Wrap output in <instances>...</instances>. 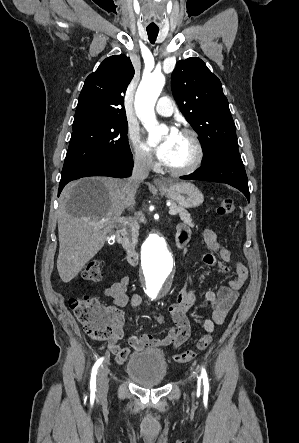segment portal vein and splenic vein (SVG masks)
<instances>
[{
  "label": "portal vein and splenic vein",
  "mask_w": 299,
  "mask_h": 443,
  "mask_svg": "<svg viewBox=\"0 0 299 443\" xmlns=\"http://www.w3.org/2000/svg\"><path fill=\"white\" fill-rule=\"evenodd\" d=\"M169 214L172 216H175L177 214V212L173 209L169 210ZM111 219L110 218H106V219H102L99 222L93 223V225L97 228H101L104 224H106L107 222H110ZM118 223H127L128 221L125 218H119L117 220Z\"/></svg>",
  "instance_id": "1"
}]
</instances>
